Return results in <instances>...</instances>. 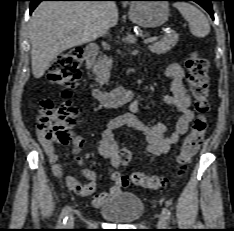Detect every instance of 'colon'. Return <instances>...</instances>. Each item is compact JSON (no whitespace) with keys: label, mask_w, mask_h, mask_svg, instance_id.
<instances>
[{"label":"colon","mask_w":234,"mask_h":231,"mask_svg":"<svg viewBox=\"0 0 234 231\" xmlns=\"http://www.w3.org/2000/svg\"><path fill=\"white\" fill-rule=\"evenodd\" d=\"M83 60L81 47H73L60 54L50 66L48 77L63 90V96L68 98L80 79V67ZM188 71L187 80L191 94L195 101L198 115L196 116L189 133L187 134L178 154V164L186 165L199 150L207 129L209 110V79L208 62L197 54H191L186 60ZM76 108L68 100L56 105L51 99H44L41 103L39 128L46 140L56 144H67L70 140V128L75 124ZM133 157L132 152L122 148L118 158L122 165H127ZM131 182L147 189H159L164 186L165 179L159 175H147L142 172H133Z\"/></svg>","instance_id":"5ec220e1"}]
</instances>
